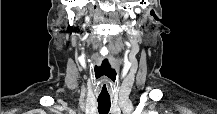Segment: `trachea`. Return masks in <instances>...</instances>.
I'll return each mask as SVG.
<instances>
[{"instance_id": "1", "label": "trachea", "mask_w": 217, "mask_h": 114, "mask_svg": "<svg viewBox=\"0 0 217 114\" xmlns=\"http://www.w3.org/2000/svg\"><path fill=\"white\" fill-rule=\"evenodd\" d=\"M98 111L100 114H108L110 107H111V101L110 98H98Z\"/></svg>"}]
</instances>
